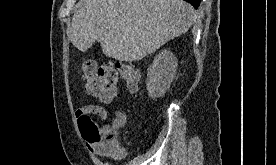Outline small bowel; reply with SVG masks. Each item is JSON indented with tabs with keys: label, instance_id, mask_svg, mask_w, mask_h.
<instances>
[{
	"label": "small bowel",
	"instance_id": "1",
	"mask_svg": "<svg viewBox=\"0 0 276 165\" xmlns=\"http://www.w3.org/2000/svg\"><path fill=\"white\" fill-rule=\"evenodd\" d=\"M75 115L78 119L80 120L81 117L83 116H90V115H95L97 116L100 120H104L107 117V112L105 111L104 108H102L99 105L95 104H86L83 106H80L77 108ZM115 136L118 135L117 131H113ZM120 145V144H119ZM90 148L99 156L102 157H114V156H121L123 154V150L120 147V152L119 153H114L106 148L105 145L98 144V145H93L90 146Z\"/></svg>",
	"mask_w": 276,
	"mask_h": 165
}]
</instances>
